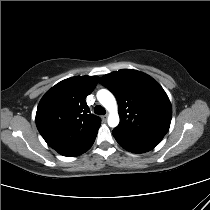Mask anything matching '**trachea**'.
<instances>
[{
	"label": "trachea",
	"mask_w": 210,
	"mask_h": 210,
	"mask_svg": "<svg viewBox=\"0 0 210 210\" xmlns=\"http://www.w3.org/2000/svg\"><path fill=\"white\" fill-rule=\"evenodd\" d=\"M94 113L98 114V115H104L106 113V111L102 106L96 105L94 108Z\"/></svg>",
	"instance_id": "3493384b"
}]
</instances>
